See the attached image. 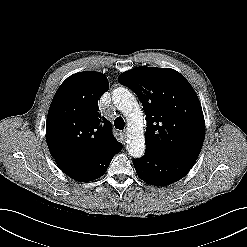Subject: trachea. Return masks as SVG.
I'll use <instances>...</instances> for the list:
<instances>
[{
    "mask_svg": "<svg viewBox=\"0 0 247 247\" xmlns=\"http://www.w3.org/2000/svg\"><path fill=\"white\" fill-rule=\"evenodd\" d=\"M114 126H115V128H117L119 130H123L124 127H125V122H124L123 118L122 117H117L114 120Z\"/></svg>",
    "mask_w": 247,
    "mask_h": 247,
    "instance_id": "trachea-1",
    "label": "trachea"
}]
</instances>
